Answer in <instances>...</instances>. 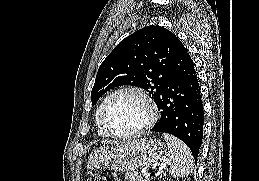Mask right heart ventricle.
I'll list each match as a JSON object with an SVG mask.
<instances>
[{
	"instance_id": "1",
	"label": "right heart ventricle",
	"mask_w": 259,
	"mask_h": 181,
	"mask_svg": "<svg viewBox=\"0 0 259 181\" xmlns=\"http://www.w3.org/2000/svg\"><path fill=\"white\" fill-rule=\"evenodd\" d=\"M103 103H104V101L98 106V108L95 112V123H96V129H97L98 134L102 137H108V134L105 132V130L103 129V127L100 123V111H101V107H102Z\"/></svg>"
}]
</instances>
